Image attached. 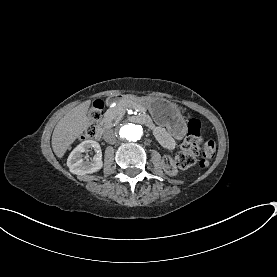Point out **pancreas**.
<instances>
[{
	"mask_svg": "<svg viewBox=\"0 0 277 277\" xmlns=\"http://www.w3.org/2000/svg\"><path fill=\"white\" fill-rule=\"evenodd\" d=\"M130 106L127 104V103H117L115 106H114V109L112 110H108L106 113H105V120L108 122V123H115L117 120H118V117H124V116H127L129 113H130Z\"/></svg>",
	"mask_w": 277,
	"mask_h": 277,
	"instance_id": "obj_1",
	"label": "pancreas"
}]
</instances>
